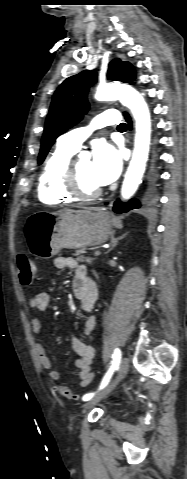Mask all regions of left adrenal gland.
Here are the masks:
<instances>
[{
    "label": "left adrenal gland",
    "mask_w": 187,
    "mask_h": 479,
    "mask_svg": "<svg viewBox=\"0 0 187 479\" xmlns=\"http://www.w3.org/2000/svg\"><path fill=\"white\" fill-rule=\"evenodd\" d=\"M124 236H125V234L123 236L118 237V238H115L114 236H112L111 237V248L106 253H109L110 251H112L117 246L119 240H121Z\"/></svg>",
    "instance_id": "obj_1"
}]
</instances>
